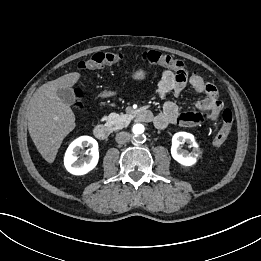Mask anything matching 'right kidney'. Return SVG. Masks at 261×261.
<instances>
[{"label":"right kidney","mask_w":261,"mask_h":261,"mask_svg":"<svg viewBox=\"0 0 261 261\" xmlns=\"http://www.w3.org/2000/svg\"><path fill=\"white\" fill-rule=\"evenodd\" d=\"M83 146L90 147V154L84 159L78 160L77 153ZM99 160L97 141L90 136H81L74 140L64 156V165L68 172L74 175H84L93 170Z\"/></svg>","instance_id":"obj_1"}]
</instances>
